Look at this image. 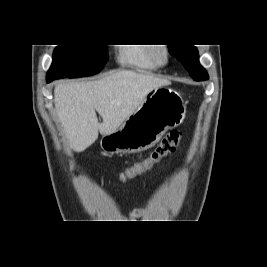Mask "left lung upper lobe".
Listing matches in <instances>:
<instances>
[{
	"mask_svg": "<svg viewBox=\"0 0 267 267\" xmlns=\"http://www.w3.org/2000/svg\"><path fill=\"white\" fill-rule=\"evenodd\" d=\"M169 51L181 61L195 81L209 79L207 71L199 63L198 51L193 45H169Z\"/></svg>",
	"mask_w": 267,
	"mask_h": 267,
	"instance_id": "left-lung-upper-lobe-1",
	"label": "left lung upper lobe"
}]
</instances>
